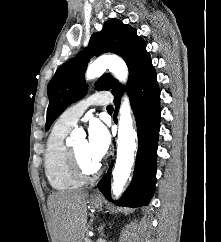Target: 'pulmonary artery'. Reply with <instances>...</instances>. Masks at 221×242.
<instances>
[{
	"instance_id": "obj_1",
	"label": "pulmonary artery",
	"mask_w": 221,
	"mask_h": 242,
	"mask_svg": "<svg viewBox=\"0 0 221 242\" xmlns=\"http://www.w3.org/2000/svg\"><path fill=\"white\" fill-rule=\"evenodd\" d=\"M109 98L110 95L107 92L90 94L65 110L56 121V125L62 129H71L89 106L105 105Z\"/></svg>"
}]
</instances>
